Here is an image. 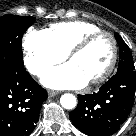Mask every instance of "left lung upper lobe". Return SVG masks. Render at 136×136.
Returning a JSON list of instances; mask_svg holds the SVG:
<instances>
[{
    "label": "left lung upper lobe",
    "mask_w": 136,
    "mask_h": 136,
    "mask_svg": "<svg viewBox=\"0 0 136 136\" xmlns=\"http://www.w3.org/2000/svg\"><path fill=\"white\" fill-rule=\"evenodd\" d=\"M115 38L118 42L119 50H120V55H119L120 61H119L117 73L135 71L133 58L129 47L118 33H115Z\"/></svg>",
    "instance_id": "5c2ea615"
}]
</instances>
